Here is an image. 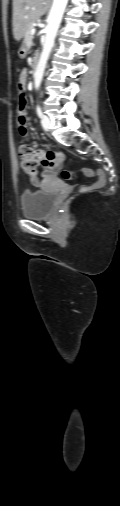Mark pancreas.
Here are the masks:
<instances>
[{
  "label": "pancreas",
  "mask_w": 120,
  "mask_h": 506,
  "mask_svg": "<svg viewBox=\"0 0 120 506\" xmlns=\"http://www.w3.org/2000/svg\"><path fill=\"white\" fill-rule=\"evenodd\" d=\"M32 29H33V26L29 25L26 30V33H25L24 44L26 45L27 48L32 45V39H33V35H31Z\"/></svg>",
  "instance_id": "pancreas-1"
}]
</instances>
